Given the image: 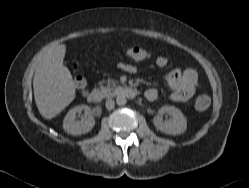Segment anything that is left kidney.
I'll return each instance as SVG.
<instances>
[{"mask_svg": "<svg viewBox=\"0 0 249 188\" xmlns=\"http://www.w3.org/2000/svg\"><path fill=\"white\" fill-rule=\"evenodd\" d=\"M168 113L171 119L167 121L162 120V115ZM153 123L155 127L163 133L170 135H179L186 131L187 120L183 113L174 106H162L158 111V115L154 117Z\"/></svg>", "mask_w": 249, "mask_h": 188, "instance_id": "5707ae66", "label": "left kidney"}]
</instances>
